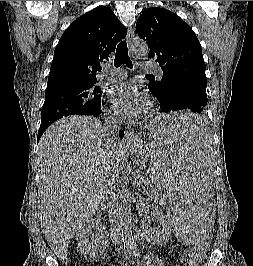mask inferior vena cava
<instances>
[{
	"label": "inferior vena cava",
	"mask_w": 253,
	"mask_h": 266,
	"mask_svg": "<svg viewBox=\"0 0 253 266\" xmlns=\"http://www.w3.org/2000/svg\"><path fill=\"white\" fill-rule=\"evenodd\" d=\"M107 139L109 142L114 143L119 141L118 131L122 120L119 116L107 113L105 114ZM103 200L109 204V219L111 223V235L115 239V244H120L122 238V231L120 226V217L118 213V202L116 194V179L115 174L112 172L110 178L106 181L102 192Z\"/></svg>",
	"instance_id": "inferior-vena-cava-1"
}]
</instances>
